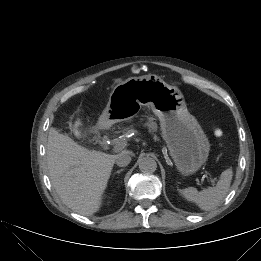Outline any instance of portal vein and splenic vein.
<instances>
[{
    "label": "portal vein and splenic vein",
    "mask_w": 261,
    "mask_h": 261,
    "mask_svg": "<svg viewBox=\"0 0 261 261\" xmlns=\"http://www.w3.org/2000/svg\"><path fill=\"white\" fill-rule=\"evenodd\" d=\"M126 145H127L126 142H120L119 144H117V145H115V146L113 147L112 151H113L114 153L119 152V151H120L121 149H123ZM206 177L209 178V181L211 182L212 185L215 184V180L212 179V178H210V177L208 176V173H206Z\"/></svg>",
    "instance_id": "portal-vein-and-splenic-vein-1"
}]
</instances>
